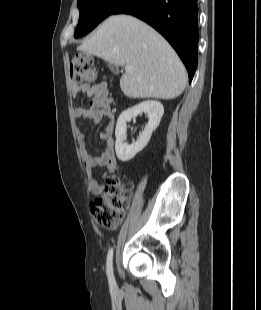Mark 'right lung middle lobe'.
<instances>
[{
    "instance_id": "right-lung-middle-lobe-1",
    "label": "right lung middle lobe",
    "mask_w": 261,
    "mask_h": 310,
    "mask_svg": "<svg viewBox=\"0 0 261 310\" xmlns=\"http://www.w3.org/2000/svg\"><path fill=\"white\" fill-rule=\"evenodd\" d=\"M126 0H78L80 11L79 24L75 30V38L81 37L93 30Z\"/></svg>"
}]
</instances>
